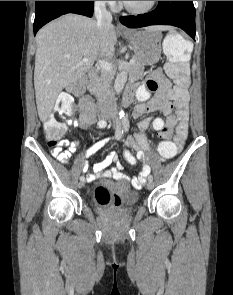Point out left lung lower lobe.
Segmentation results:
<instances>
[{"label":"left lung lower lobe","mask_w":233,"mask_h":295,"mask_svg":"<svg viewBox=\"0 0 233 295\" xmlns=\"http://www.w3.org/2000/svg\"><path fill=\"white\" fill-rule=\"evenodd\" d=\"M129 28L165 24L182 28L195 40V8L193 1H159L157 8L146 14L121 17Z\"/></svg>","instance_id":"0a47b994"}]
</instances>
